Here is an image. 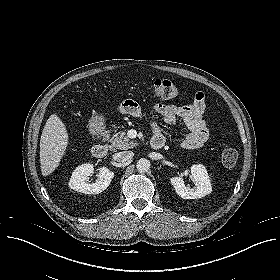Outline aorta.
Returning <instances> with one entry per match:
<instances>
[{"mask_svg": "<svg viewBox=\"0 0 280 280\" xmlns=\"http://www.w3.org/2000/svg\"><path fill=\"white\" fill-rule=\"evenodd\" d=\"M136 168L139 172H147L150 169V162L145 158H141L138 160Z\"/></svg>", "mask_w": 280, "mask_h": 280, "instance_id": "1", "label": "aorta"}]
</instances>
